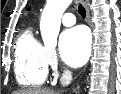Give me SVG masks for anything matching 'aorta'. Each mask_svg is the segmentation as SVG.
<instances>
[{
  "label": "aorta",
  "instance_id": "1",
  "mask_svg": "<svg viewBox=\"0 0 121 94\" xmlns=\"http://www.w3.org/2000/svg\"><path fill=\"white\" fill-rule=\"evenodd\" d=\"M72 0H47L40 19V31L45 47L55 48L61 18Z\"/></svg>",
  "mask_w": 121,
  "mask_h": 94
}]
</instances>
